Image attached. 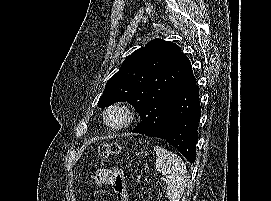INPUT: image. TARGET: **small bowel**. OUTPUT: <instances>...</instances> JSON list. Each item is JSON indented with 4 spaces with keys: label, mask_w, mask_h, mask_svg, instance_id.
Here are the masks:
<instances>
[{
    "label": "small bowel",
    "mask_w": 271,
    "mask_h": 201,
    "mask_svg": "<svg viewBox=\"0 0 271 201\" xmlns=\"http://www.w3.org/2000/svg\"><path fill=\"white\" fill-rule=\"evenodd\" d=\"M90 183L94 186L110 185L115 192L116 201H128L126 182L120 168L100 167L92 173Z\"/></svg>",
    "instance_id": "small-bowel-1"
}]
</instances>
